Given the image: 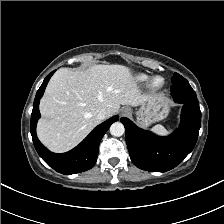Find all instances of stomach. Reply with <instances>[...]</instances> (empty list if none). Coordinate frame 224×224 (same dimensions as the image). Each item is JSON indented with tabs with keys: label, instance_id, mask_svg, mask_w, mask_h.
Here are the masks:
<instances>
[{
	"label": "stomach",
	"instance_id": "1",
	"mask_svg": "<svg viewBox=\"0 0 224 224\" xmlns=\"http://www.w3.org/2000/svg\"><path fill=\"white\" fill-rule=\"evenodd\" d=\"M168 113V102L154 97L143 103L136 112L137 123L141 127H147L152 123L163 120L168 115Z\"/></svg>",
	"mask_w": 224,
	"mask_h": 224
}]
</instances>
